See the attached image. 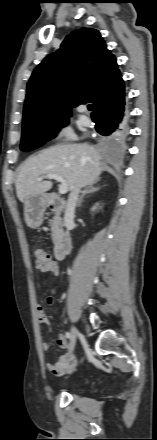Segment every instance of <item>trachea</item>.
Returning <instances> with one entry per match:
<instances>
[{"mask_svg":"<svg viewBox=\"0 0 157 440\" xmlns=\"http://www.w3.org/2000/svg\"><path fill=\"white\" fill-rule=\"evenodd\" d=\"M88 109L91 111L93 109V105H88Z\"/></svg>","mask_w":157,"mask_h":440,"instance_id":"1","label":"trachea"}]
</instances>
